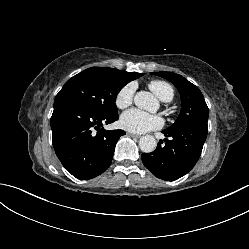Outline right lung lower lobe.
Returning <instances> with one entry per match:
<instances>
[{
  "instance_id": "obj_1",
  "label": "right lung lower lobe",
  "mask_w": 249,
  "mask_h": 249,
  "mask_svg": "<svg viewBox=\"0 0 249 249\" xmlns=\"http://www.w3.org/2000/svg\"><path fill=\"white\" fill-rule=\"evenodd\" d=\"M116 120L118 114L99 115L70 99H55L50 120L53 146L69 173L86 180L110 166L115 145L125 131L102 126Z\"/></svg>"
}]
</instances>
